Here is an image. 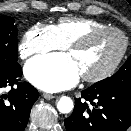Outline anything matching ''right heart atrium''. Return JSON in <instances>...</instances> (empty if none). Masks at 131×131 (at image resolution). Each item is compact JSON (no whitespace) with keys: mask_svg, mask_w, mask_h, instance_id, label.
Segmentation results:
<instances>
[{"mask_svg":"<svg viewBox=\"0 0 131 131\" xmlns=\"http://www.w3.org/2000/svg\"><path fill=\"white\" fill-rule=\"evenodd\" d=\"M64 47L53 26L37 23L32 25L23 35L19 45V53L22 58L26 59Z\"/></svg>","mask_w":131,"mask_h":131,"instance_id":"d8ad5b80","label":"right heart atrium"}]
</instances>
